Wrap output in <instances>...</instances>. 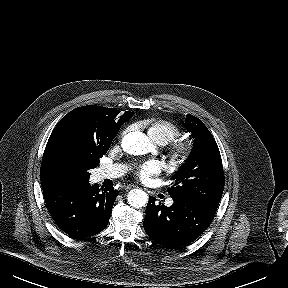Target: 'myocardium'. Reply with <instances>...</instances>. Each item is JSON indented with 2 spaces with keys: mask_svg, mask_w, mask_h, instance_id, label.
I'll return each instance as SVG.
<instances>
[{
  "mask_svg": "<svg viewBox=\"0 0 288 288\" xmlns=\"http://www.w3.org/2000/svg\"><path fill=\"white\" fill-rule=\"evenodd\" d=\"M168 149L174 159L184 161L193 152L194 144L190 139H176L170 142Z\"/></svg>",
  "mask_w": 288,
  "mask_h": 288,
  "instance_id": "1",
  "label": "myocardium"
}]
</instances>
